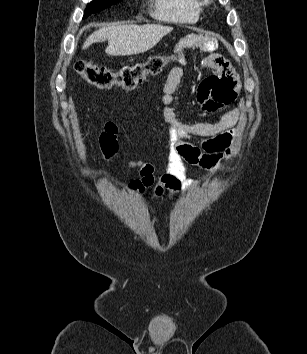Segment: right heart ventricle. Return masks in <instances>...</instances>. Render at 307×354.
<instances>
[{
  "label": "right heart ventricle",
  "instance_id": "obj_1",
  "mask_svg": "<svg viewBox=\"0 0 307 354\" xmlns=\"http://www.w3.org/2000/svg\"><path fill=\"white\" fill-rule=\"evenodd\" d=\"M199 0H153L154 18L171 23H194L199 19Z\"/></svg>",
  "mask_w": 307,
  "mask_h": 354
}]
</instances>
